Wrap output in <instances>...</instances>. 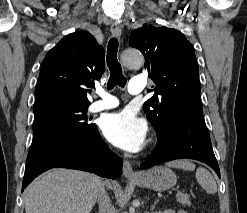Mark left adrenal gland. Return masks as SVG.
<instances>
[{
  "instance_id": "1",
  "label": "left adrenal gland",
  "mask_w": 247,
  "mask_h": 213,
  "mask_svg": "<svg viewBox=\"0 0 247 213\" xmlns=\"http://www.w3.org/2000/svg\"><path fill=\"white\" fill-rule=\"evenodd\" d=\"M157 202H158V200H156V201L153 203V205H152L151 208H150L151 210H154V208H155Z\"/></svg>"
}]
</instances>
